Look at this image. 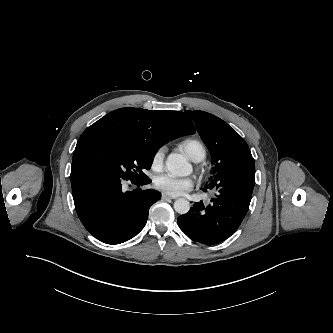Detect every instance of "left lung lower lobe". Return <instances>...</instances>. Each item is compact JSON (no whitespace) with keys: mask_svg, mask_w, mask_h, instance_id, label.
Segmentation results:
<instances>
[{"mask_svg":"<svg viewBox=\"0 0 333 333\" xmlns=\"http://www.w3.org/2000/svg\"><path fill=\"white\" fill-rule=\"evenodd\" d=\"M236 175V176H234ZM255 185V164L251 153L228 162L204 189L217 193L211 203L197 202L188 213L178 217L182 231L206 244H218L230 237L244 219Z\"/></svg>","mask_w":333,"mask_h":333,"instance_id":"left-lung-lower-lobe-1","label":"left lung lower lobe"}]
</instances>
